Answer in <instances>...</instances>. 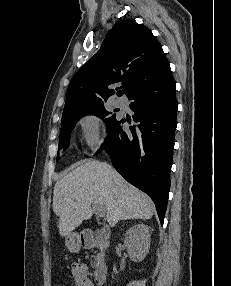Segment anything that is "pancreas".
<instances>
[{
  "label": "pancreas",
  "instance_id": "pancreas-1",
  "mask_svg": "<svg viewBox=\"0 0 231 286\" xmlns=\"http://www.w3.org/2000/svg\"><path fill=\"white\" fill-rule=\"evenodd\" d=\"M96 260H97L98 262H101V261H102V257H101L100 255H98L97 258H96ZM96 264H97V262H94V263L92 264V267H95Z\"/></svg>",
  "mask_w": 231,
  "mask_h": 286
}]
</instances>
